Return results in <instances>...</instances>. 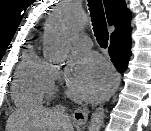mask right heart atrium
<instances>
[{
	"label": "right heart atrium",
	"mask_w": 151,
	"mask_h": 131,
	"mask_svg": "<svg viewBox=\"0 0 151 131\" xmlns=\"http://www.w3.org/2000/svg\"><path fill=\"white\" fill-rule=\"evenodd\" d=\"M51 75L53 80H56L59 77V73L56 69H52Z\"/></svg>",
	"instance_id": "d8ad5b80"
}]
</instances>
